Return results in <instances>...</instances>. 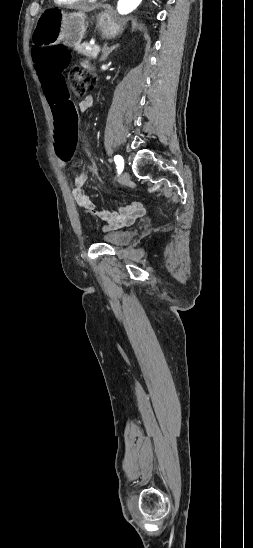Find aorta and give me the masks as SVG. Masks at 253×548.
Returning a JSON list of instances; mask_svg holds the SVG:
<instances>
[{
  "label": "aorta",
  "mask_w": 253,
  "mask_h": 548,
  "mask_svg": "<svg viewBox=\"0 0 253 548\" xmlns=\"http://www.w3.org/2000/svg\"><path fill=\"white\" fill-rule=\"evenodd\" d=\"M142 0H119L117 10L119 14L126 15L136 9Z\"/></svg>",
  "instance_id": "1"
}]
</instances>
